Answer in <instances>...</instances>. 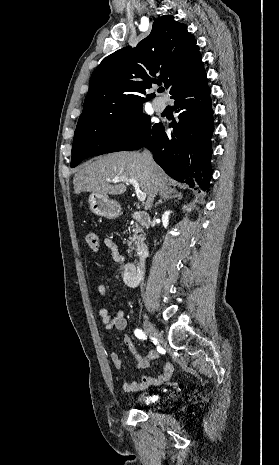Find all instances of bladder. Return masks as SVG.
Returning a JSON list of instances; mask_svg holds the SVG:
<instances>
[{
	"mask_svg": "<svg viewBox=\"0 0 279 465\" xmlns=\"http://www.w3.org/2000/svg\"><path fill=\"white\" fill-rule=\"evenodd\" d=\"M156 400V395L154 394H146V395H142L141 397H139V403L142 404V405H150L152 403H154Z\"/></svg>",
	"mask_w": 279,
	"mask_h": 465,
	"instance_id": "obj_1",
	"label": "bladder"
}]
</instances>
